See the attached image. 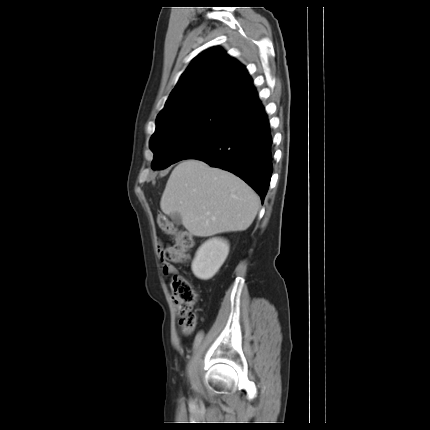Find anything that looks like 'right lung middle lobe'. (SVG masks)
<instances>
[{
    "label": "right lung middle lobe",
    "mask_w": 430,
    "mask_h": 430,
    "mask_svg": "<svg viewBox=\"0 0 430 430\" xmlns=\"http://www.w3.org/2000/svg\"><path fill=\"white\" fill-rule=\"evenodd\" d=\"M237 114L224 100H206L157 120L150 147L152 169H161L180 160L226 130Z\"/></svg>",
    "instance_id": "right-lung-middle-lobe-1"
}]
</instances>
